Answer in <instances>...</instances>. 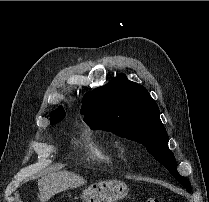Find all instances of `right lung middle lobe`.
Instances as JSON below:
<instances>
[{
    "label": "right lung middle lobe",
    "mask_w": 209,
    "mask_h": 202,
    "mask_svg": "<svg viewBox=\"0 0 209 202\" xmlns=\"http://www.w3.org/2000/svg\"><path fill=\"white\" fill-rule=\"evenodd\" d=\"M66 113L64 112L63 109L61 110H57L54 113H52L51 119L55 122L58 123L61 120H63V118L65 117Z\"/></svg>",
    "instance_id": "dd1d6c3e"
}]
</instances>
